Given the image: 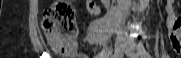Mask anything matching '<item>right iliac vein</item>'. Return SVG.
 I'll return each mask as SVG.
<instances>
[{"label": "right iliac vein", "mask_w": 181, "mask_h": 58, "mask_svg": "<svg viewBox=\"0 0 181 58\" xmlns=\"http://www.w3.org/2000/svg\"><path fill=\"white\" fill-rule=\"evenodd\" d=\"M126 47V40L123 37H118L115 42V53H121Z\"/></svg>", "instance_id": "1"}]
</instances>
